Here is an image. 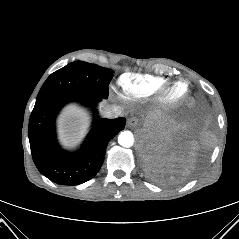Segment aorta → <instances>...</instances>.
I'll use <instances>...</instances> for the list:
<instances>
[{"instance_id":"obj_1","label":"aorta","mask_w":239,"mask_h":239,"mask_svg":"<svg viewBox=\"0 0 239 239\" xmlns=\"http://www.w3.org/2000/svg\"><path fill=\"white\" fill-rule=\"evenodd\" d=\"M118 143L125 148L132 147L134 144V136L131 131H122L118 136Z\"/></svg>"}]
</instances>
